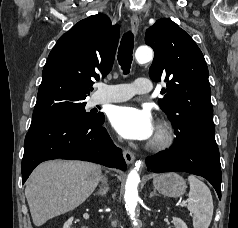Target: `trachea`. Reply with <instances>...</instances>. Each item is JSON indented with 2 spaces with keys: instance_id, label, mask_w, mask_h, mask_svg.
<instances>
[{
  "instance_id": "trachea-1",
  "label": "trachea",
  "mask_w": 238,
  "mask_h": 228,
  "mask_svg": "<svg viewBox=\"0 0 238 228\" xmlns=\"http://www.w3.org/2000/svg\"><path fill=\"white\" fill-rule=\"evenodd\" d=\"M133 48L134 36L131 32H127L121 39L117 57L124 74H128L130 71Z\"/></svg>"
}]
</instances>
